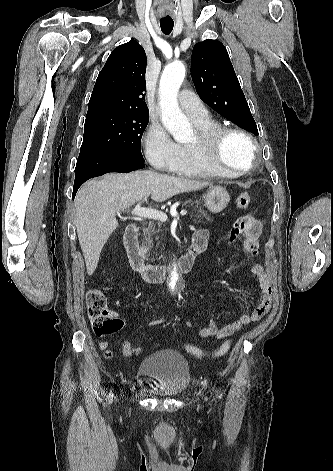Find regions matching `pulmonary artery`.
Listing matches in <instances>:
<instances>
[{
    "instance_id": "pulmonary-artery-1",
    "label": "pulmonary artery",
    "mask_w": 333,
    "mask_h": 471,
    "mask_svg": "<svg viewBox=\"0 0 333 471\" xmlns=\"http://www.w3.org/2000/svg\"><path fill=\"white\" fill-rule=\"evenodd\" d=\"M179 104L192 120H200L208 116V111L202 101L191 91L183 90L180 93Z\"/></svg>"
}]
</instances>
